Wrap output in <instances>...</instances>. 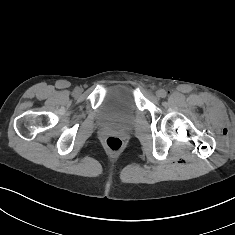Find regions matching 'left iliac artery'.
I'll list each match as a JSON object with an SVG mask.
<instances>
[{
  "label": "left iliac artery",
  "instance_id": "1",
  "mask_svg": "<svg viewBox=\"0 0 235 235\" xmlns=\"http://www.w3.org/2000/svg\"><path fill=\"white\" fill-rule=\"evenodd\" d=\"M162 97L164 98V97H166V92L163 90V92H162Z\"/></svg>",
  "mask_w": 235,
  "mask_h": 235
}]
</instances>
